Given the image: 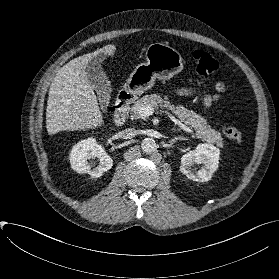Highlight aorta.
I'll return each instance as SVG.
<instances>
[{"label":"aorta","instance_id":"aorta-1","mask_svg":"<svg viewBox=\"0 0 279 279\" xmlns=\"http://www.w3.org/2000/svg\"><path fill=\"white\" fill-rule=\"evenodd\" d=\"M142 150L145 153H151L156 149V143L153 138H145L141 144Z\"/></svg>","mask_w":279,"mask_h":279}]
</instances>
